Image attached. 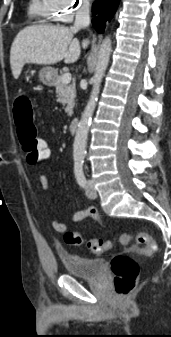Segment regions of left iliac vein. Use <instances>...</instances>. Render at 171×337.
Returning <instances> with one entry per match:
<instances>
[{
    "label": "left iliac vein",
    "instance_id": "left-iliac-vein-1",
    "mask_svg": "<svg viewBox=\"0 0 171 337\" xmlns=\"http://www.w3.org/2000/svg\"><path fill=\"white\" fill-rule=\"evenodd\" d=\"M86 195L90 199H95L97 197V191L91 181L87 182Z\"/></svg>",
    "mask_w": 171,
    "mask_h": 337
}]
</instances>
